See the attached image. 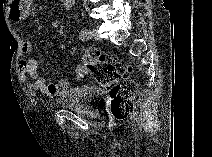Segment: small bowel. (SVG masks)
I'll return each instance as SVG.
<instances>
[{"instance_id":"c3829d8e","label":"small bowel","mask_w":212,"mask_h":157,"mask_svg":"<svg viewBox=\"0 0 212 157\" xmlns=\"http://www.w3.org/2000/svg\"><path fill=\"white\" fill-rule=\"evenodd\" d=\"M63 6L69 9L73 5L72 0H63ZM32 0H13L8 4V18L11 21L18 22L24 20L30 13ZM58 21L52 23V28L56 29L59 26ZM33 51V43L25 41L22 45L23 54H29ZM20 75L23 81L28 82V88L32 90H41L48 97L62 96L70 90V81L61 79L58 82H51L40 77V65L34 58L22 59L19 64Z\"/></svg>"}]
</instances>
